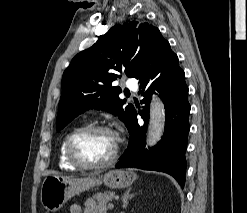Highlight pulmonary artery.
<instances>
[{
    "label": "pulmonary artery",
    "mask_w": 247,
    "mask_h": 213,
    "mask_svg": "<svg viewBox=\"0 0 247 213\" xmlns=\"http://www.w3.org/2000/svg\"><path fill=\"white\" fill-rule=\"evenodd\" d=\"M125 83H126V86H127V88L129 90H131V91H136L137 90V84H136V82L133 79L126 78Z\"/></svg>",
    "instance_id": "obj_1"
}]
</instances>
